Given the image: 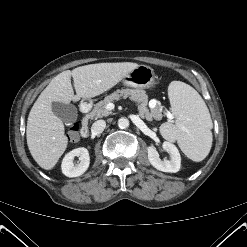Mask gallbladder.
<instances>
[{"instance_id":"obj_1","label":"gallbladder","mask_w":247,"mask_h":247,"mask_svg":"<svg viewBox=\"0 0 247 247\" xmlns=\"http://www.w3.org/2000/svg\"><path fill=\"white\" fill-rule=\"evenodd\" d=\"M52 111L65 124H72L77 119V108L73 104L53 102Z\"/></svg>"}]
</instances>
